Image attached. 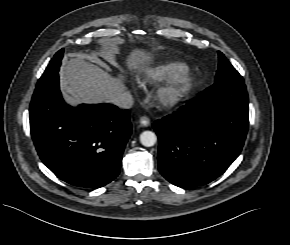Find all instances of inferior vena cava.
<instances>
[{
  "label": "inferior vena cava",
  "mask_w": 290,
  "mask_h": 245,
  "mask_svg": "<svg viewBox=\"0 0 290 245\" xmlns=\"http://www.w3.org/2000/svg\"><path fill=\"white\" fill-rule=\"evenodd\" d=\"M110 103L122 109H130L134 103L133 97L129 92H121L109 100Z\"/></svg>",
  "instance_id": "1"
}]
</instances>
